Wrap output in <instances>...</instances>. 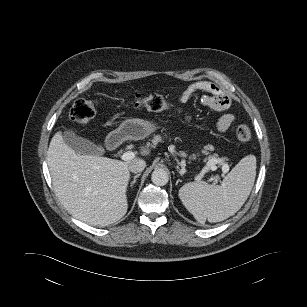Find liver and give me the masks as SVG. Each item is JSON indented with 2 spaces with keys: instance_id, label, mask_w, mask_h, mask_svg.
I'll use <instances>...</instances> for the list:
<instances>
[{
  "instance_id": "6515ba94",
  "label": "liver",
  "mask_w": 307,
  "mask_h": 307,
  "mask_svg": "<svg viewBox=\"0 0 307 307\" xmlns=\"http://www.w3.org/2000/svg\"><path fill=\"white\" fill-rule=\"evenodd\" d=\"M141 153H149L141 148ZM136 160V159H134ZM97 155L76 153L55 133L47 164L54 191L64 208L76 219L104 227L120 220L127 212L129 164Z\"/></svg>"
}]
</instances>
